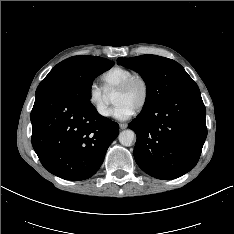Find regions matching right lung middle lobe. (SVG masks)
<instances>
[{"instance_id":"right-lung-middle-lobe-1","label":"right lung middle lobe","mask_w":234,"mask_h":234,"mask_svg":"<svg viewBox=\"0 0 234 234\" xmlns=\"http://www.w3.org/2000/svg\"><path fill=\"white\" fill-rule=\"evenodd\" d=\"M113 62L105 58L73 56L57 64L42 80L36 95L51 92L69 93L81 102L90 104V86L93 79Z\"/></svg>"}]
</instances>
